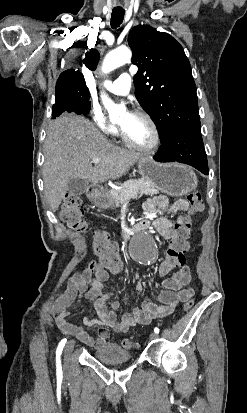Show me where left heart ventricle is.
Returning a JSON list of instances; mask_svg holds the SVG:
<instances>
[{"mask_svg":"<svg viewBox=\"0 0 247 413\" xmlns=\"http://www.w3.org/2000/svg\"><path fill=\"white\" fill-rule=\"evenodd\" d=\"M123 128L124 132L134 141L141 144H150L155 138L154 130L151 128L149 123L143 119L139 118L134 125L127 126Z\"/></svg>","mask_w":247,"mask_h":413,"instance_id":"obj_1","label":"left heart ventricle"}]
</instances>
